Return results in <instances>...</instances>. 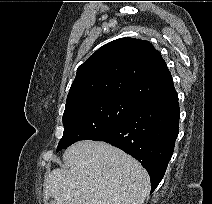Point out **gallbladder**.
<instances>
[{"instance_id": "bac80fb5", "label": "gallbladder", "mask_w": 212, "mask_h": 204, "mask_svg": "<svg viewBox=\"0 0 212 204\" xmlns=\"http://www.w3.org/2000/svg\"><path fill=\"white\" fill-rule=\"evenodd\" d=\"M49 204H56V202L55 201H51Z\"/></svg>"}]
</instances>
